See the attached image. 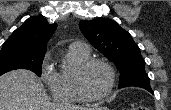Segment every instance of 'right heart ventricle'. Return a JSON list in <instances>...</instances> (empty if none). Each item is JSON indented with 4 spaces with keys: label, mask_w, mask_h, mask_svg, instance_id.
<instances>
[{
    "label": "right heart ventricle",
    "mask_w": 171,
    "mask_h": 110,
    "mask_svg": "<svg viewBox=\"0 0 171 110\" xmlns=\"http://www.w3.org/2000/svg\"><path fill=\"white\" fill-rule=\"evenodd\" d=\"M88 59L90 51L71 45L64 57V67L55 72L48 84L52 97L60 102L80 103L84 100L78 95L74 86L76 70Z\"/></svg>",
    "instance_id": "1"
}]
</instances>
